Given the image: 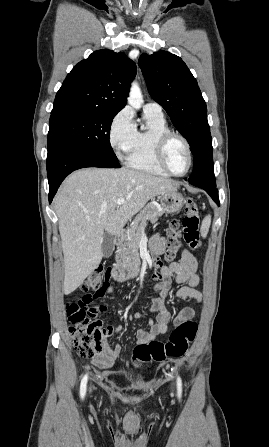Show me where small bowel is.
Segmentation results:
<instances>
[{
    "instance_id": "1",
    "label": "small bowel",
    "mask_w": 269,
    "mask_h": 447,
    "mask_svg": "<svg viewBox=\"0 0 269 447\" xmlns=\"http://www.w3.org/2000/svg\"><path fill=\"white\" fill-rule=\"evenodd\" d=\"M151 250L154 254L160 255L165 250V241L160 234H155L151 239ZM197 260L194 255L183 250L180 262L164 265L156 274L157 284L155 290L158 295L152 299L150 311L158 313L157 319L154 321L149 319L143 312L134 313L136 320H147V327L137 332V340L139 343H146L155 339L159 335L168 332L172 319V314L166 306V299L173 283H184L175 292V297L180 300L194 299L197 302L202 300V294L195 287L199 284V274L197 271ZM195 312L192 308H184L177 315V321L193 319ZM179 326V323H176ZM120 346L110 345L107 341L103 342V352L92 358L93 363L103 369L111 368L115 361L118 360Z\"/></svg>"
}]
</instances>
